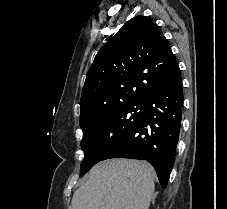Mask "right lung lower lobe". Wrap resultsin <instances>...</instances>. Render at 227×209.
Returning a JSON list of instances; mask_svg holds the SVG:
<instances>
[{
    "label": "right lung lower lobe",
    "instance_id": "98d812e1",
    "mask_svg": "<svg viewBox=\"0 0 227 209\" xmlns=\"http://www.w3.org/2000/svg\"><path fill=\"white\" fill-rule=\"evenodd\" d=\"M154 72L168 75L163 85L143 101L140 120L102 158L142 159L150 162L166 188L175 159L181 127L183 91L178 64L159 66Z\"/></svg>",
    "mask_w": 227,
    "mask_h": 209
}]
</instances>
